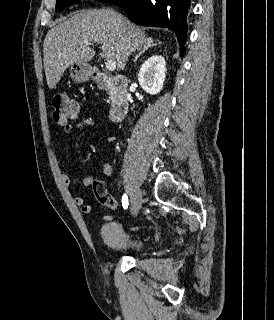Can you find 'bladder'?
<instances>
[{"instance_id": "1", "label": "bladder", "mask_w": 274, "mask_h": 320, "mask_svg": "<svg viewBox=\"0 0 274 320\" xmlns=\"http://www.w3.org/2000/svg\"><path fill=\"white\" fill-rule=\"evenodd\" d=\"M101 234L106 245L116 253L136 254L145 247V241L141 237L125 233L122 226L116 221L105 223Z\"/></svg>"}]
</instances>
